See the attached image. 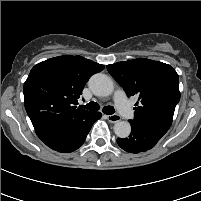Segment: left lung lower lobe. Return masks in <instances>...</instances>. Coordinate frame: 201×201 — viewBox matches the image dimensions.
I'll use <instances>...</instances> for the list:
<instances>
[{
  "label": "left lung lower lobe",
  "mask_w": 201,
  "mask_h": 201,
  "mask_svg": "<svg viewBox=\"0 0 201 201\" xmlns=\"http://www.w3.org/2000/svg\"><path fill=\"white\" fill-rule=\"evenodd\" d=\"M131 133L128 138H118V145L125 151L137 154L152 149L168 131L157 125L138 124L130 121Z\"/></svg>",
  "instance_id": "0a47b994"
}]
</instances>
